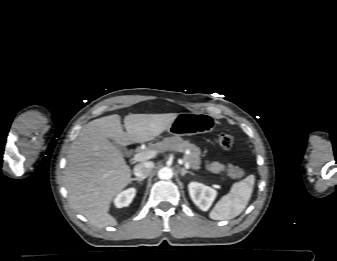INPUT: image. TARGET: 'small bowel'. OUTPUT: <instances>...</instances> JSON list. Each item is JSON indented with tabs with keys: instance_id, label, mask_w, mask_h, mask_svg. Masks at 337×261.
Returning <instances> with one entry per match:
<instances>
[{
	"instance_id": "c3829d8e",
	"label": "small bowel",
	"mask_w": 337,
	"mask_h": 261,
	"mask_svg": "<svg viewBox=\"0 0 337 261\" xmlns=\"http://www.w3.org/2000/svg\"><path fill=\"white\" fill-rule=\"evenodd\" d=\"M207 168L214 173H218L223 170V165L219 162H208Z\"/></svg>"
}]
</instances>
